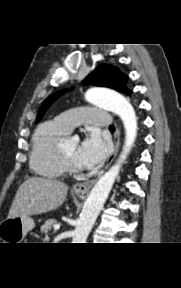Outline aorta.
Returning a JSON list of instances; mask_svg holds the SVG:
<instances>
[{
	"label": "aorta",
	"instance_id": "762f6f07",
	"mask_svg": "<svg viewBox=\"0 0 181 288\" xmlns=\"http://www.w3.org/2000/svg\"><path fill=\"white\" fill-rule=\"evenodd\" d=\"M85 98L88 102L109 110L121 118L125 129V143L117 163L99 178L90 191L75 228L72 243H86L87 237L119 174L121 164L127 158L137 136L136 114L134 108L124 96L116 92L92 88L86 92Z\"/></svg>",
	"mask_w": 181,
	"mask_h": 288
}]
</instances>
